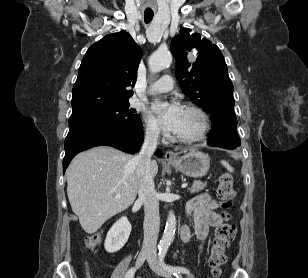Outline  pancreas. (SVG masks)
I'll return each instance as SVG.
<instances>
[{"mask_svg":"<svg viewBox=\"0 0 308 278\" xmlns=\"http://www.w3.org/2000/svg\"><path fill=\"white\" fill-rule=\"evenodd\" d=\"M206 185H207L206 183L195 181L193 185L191 186V188H189V190L191 193H196V192L203 190L206 187Z\"/></svg>","mask_w":308,"mask_h":278,"instance_id":"obj_1","label":"pancreas"}]
</instances>
